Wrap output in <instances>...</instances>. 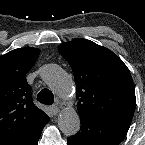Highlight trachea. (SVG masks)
I'll return each mask as SVG.
<instances>
[{"mask_svg":"<svg viewBox=\"0 0 145 145\" xmlns=\"http://www.w3.org/2000/svg\"><path fill=\"white\" fill-rule=\"evenodd\" d=\"M37 100L45 105H52L54 103V95L48 89L41 90L37 95Z\"/></svg>","mask_w":145,"mask_h":145,"instance_id":"trachea-1","label":"trachea"}]
</instances>
